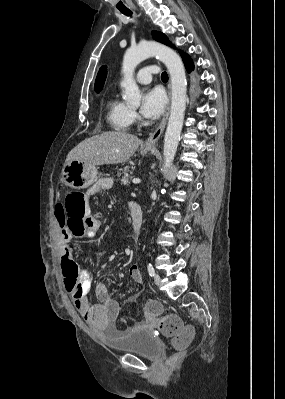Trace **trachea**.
<instances>
[{
  "label": "trachea",
  "instance_id": "3493384b",
  "mask_svg": "<svg viewBox=\"0 0 285 399\" xmlns=\"http://www.w3.org/2000/svg\"><path fill=\"white\" fill-rule=\"evenodd\" d=\"M120 11H121V13H123V14L126 15V16H132V12H131L130 10H120ZM161 79H162L163 81H167V80H168V75H167L166 72H163V73L161 74Z\"/></svg>",
  "mask_w": 285,
  "mask_h": 399
}]
</instances>
